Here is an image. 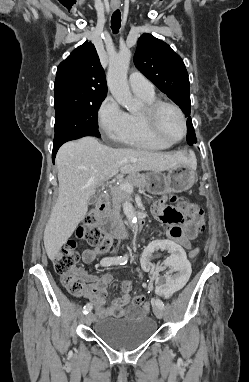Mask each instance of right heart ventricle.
<instances>
[{"mask_svg":"<svg viewBox=\"0 0 249 382\" xmlns=\"http://www.w3.org/2000/svg\"><path fill=\"white\" fill-rule=\"evenodd\" d=\"M135 94L144 102V104L156 100L154 93L150 95ZM118 141L131 147L147 150H164L171 146V144L163 142L151 134L145 124L141 112H132L128 114L127 131Z\"/></svg>","mask_w":249,"mask_h":382,"instance_id":"1","label":"right heart ventricle"}]
</instances>
